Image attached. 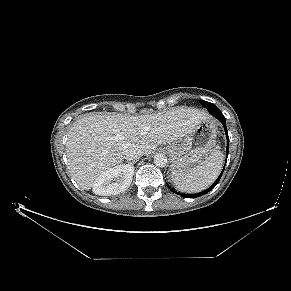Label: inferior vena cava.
<instances>
[{
    "label": "inferior vena cava",
    "instance_id": "obj_1",
    "mask_svg": "<svg viewBox=\"0 0 291 291\" xmlns=\"http://www.w3.org/2000/svg\"><path fill=\"white\" fill-rule=\"evenodd\" d=\"M125 159L129 161L138 160L142 155V151L137 146H130L124 151Z\"/></svg>",
    "mask_w": 291,
    "mask_h": 291
}]
</instances>
